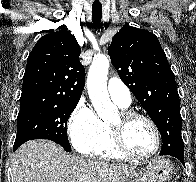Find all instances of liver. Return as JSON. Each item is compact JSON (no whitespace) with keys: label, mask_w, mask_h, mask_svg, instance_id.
Here are the masks:
<instances>
[{"label":"liver","mask_w":196,"mask_h":182,"mask_svg":"<svg viewBox=\"0 0 196 182\" xmlns=\"http://www.w3.org/2000/svg\"><path fill=\"white\" fill-rule=\"evenodd\" d=\"M135 166L68 154L44 139L24 143L13 155V182H124Z\"/></svg>","instance_id":"liver-1"}]
</instances>
